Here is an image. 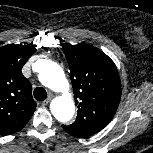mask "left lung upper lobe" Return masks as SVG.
I'll return each instance as SVG.
<instances>
[{"instance_id": "obj_1", "label": "left lung upper lobe", "mask_w": 153, "mask_h": 153, "mask_svg": "<svg viewBox=\"0 0 153 153\" xmlns=\"http://www.w3.org/2000/svg\"><path fill=\"white\" fill-rule=\"evenodd\" d=\"M62 50L78 105L75 122L62 126L72 136L88 137L101 131L118 108L121 97L118 71L104 52L89 44L65 45Z\"/></svg>"}]
</instances>
